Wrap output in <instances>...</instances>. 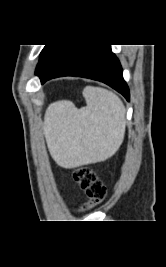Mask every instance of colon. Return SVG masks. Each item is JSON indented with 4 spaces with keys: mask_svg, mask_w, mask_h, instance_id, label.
<instances>
[{
    "mask_svg": "<svg viewBox=\"0 0 166 267\" xmlns=\"http://www.w3.org/2000/svg\"><path fill=\"white\" fill-rule=\"evenodd\" d=\"M74 181L84 191L87 201L80 208L81 211L88 210L101 204L106 197V187L97 173L90 167H80L73 172Z\"/></svg>",
    "mask_w": 166,
    "mask_h": 267,
    "instance_id": "obj_1",
    "label": "colon"
}]
</instances>
